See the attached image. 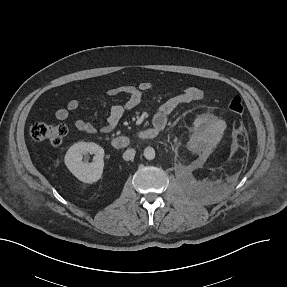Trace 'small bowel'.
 I'll use <instances>...</instances> for the list:
<instances>
[{
	"mask_svg": "<svg viewBox=\"0 0 287 287\" xmlns=\"http://www.w3.org/2000/svg\"><path fill=\"white\" fill-rule=\"evenodd\" d=\"M151 84L149 82H141L138 85H123L112 87L107 90L108 95H125L126 99L121 104H115L110 108L105 124L101 127L102 133L111 132L124 114L139 105L143 95L150 91ZM203 91L200 88L189 86L184 88L179 94L167 99L163 102L153 115V127L159 130L165 128L168 123L169 116L181 105L196 102L203 98ZM80 108V101L72 99L67 104L56 110L55 116L60 121H67L71 118V114ZM77 130L93 134L97 131L95 125L86 120L76 118L73 121Z\"/></svg>",
	"mask_w": 287,
	"mask_h": 287,
	"instance_id": "1",
	"label": "small bowel"
}]
</instances>
